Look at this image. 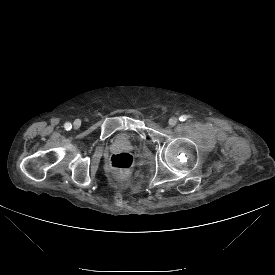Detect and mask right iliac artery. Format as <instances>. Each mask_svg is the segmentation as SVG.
Segmentation results:
<instances>
[{
	"instance_id": "82829eb1",
	"label": "right iliac artery",
	"mask_w": 275,
	"mask_h": 275,
	"mask_svg": "<svg viewBox=\"0 0 275 275\" xmlns=\"http://www.w3.org/2000/svg\"><path fill=\"white\" fill-rule=\"evenodd\" d=\"M64 128H65L66 130H70V129L72 128L71 123H69V122L65 123V124H64Z\"/></svg>"
}]
</instances>
